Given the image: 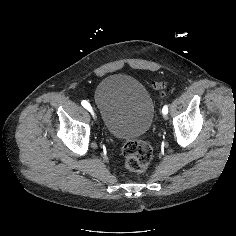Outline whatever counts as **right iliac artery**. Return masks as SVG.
<instances>
[{"label": "right iliac artery", "mask_w": 236, "mask_h": 236, "mask_svg": "<svg viewBox=\"0 0 236 236\" xmlns=\"http://www.w3.org/2000/svg\"><path fill=\"white\" fill-rule=\"evenodd\" d=\"M81 104L85 109H87L88 113H90L92 120H93L94 124L96 125L99 120L96 110H94V108H92L90 103L86 100H83L81 102Z\"/></svg>", "instance_id": "1"}]
</instances>
